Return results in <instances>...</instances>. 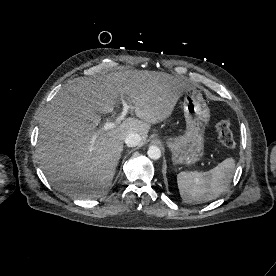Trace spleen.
<instances>
[{"instance_id": "spleen-1", "label": "spleen", "mask_w": 276, "mask_h": 276, "mask_svg": "<svg viewBox=\"0 0 276 276\" xmlns=\"http://www.w3.org/2000/svg\"><path fill=\"white\" fill-rule=\"evenodd\" d=\"M235 170V160L227 158L207 172H180L177 184L186 203H203L219 197L228 188Z\"/></svg>"}]
</instances>
